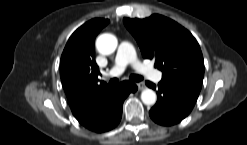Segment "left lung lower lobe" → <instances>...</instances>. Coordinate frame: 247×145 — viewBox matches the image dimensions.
Masks as SVG:
<instances>
[{
	"label": "left lung lower lobe",
	"instance_id": "1",
	"mask_svg": "<svg viewBox=\"0 0 247 145\" xmlns=\"http://www.w3.org/2000/svg\"><path fill=\"white\" fill-rule=\"evenodd\" d=\"M146 84L157 89V103L149 111L150 117L154 122L165 126L183 120L193 109L200 93L180 82L163 78L158 86L151 82Z\"/></svg>",
	"mask_w": 247,
	"mask_h": 145
}]
</instances>
